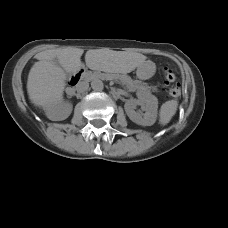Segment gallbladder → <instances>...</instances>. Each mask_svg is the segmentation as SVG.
Masks as SVG:
<instances>
[{
    "mask_svg": "<svg viewBox=\"0 0 228 228\" xmlns=\"http://www.w3.org/2000/svg\"><path fill=\"white\" fill-rule=\"evenodd\" d=\"M56 64L59 65V62L57 59H56ZM70 80H71V76H68V81H70Z\"/></svg>",
    "mask_w": 228,
    "mask_h": 228,
    "instance_id": "1",
    "label": "gallbladder"
}]
</instances>
